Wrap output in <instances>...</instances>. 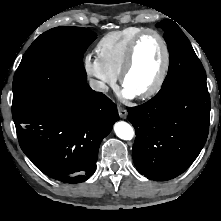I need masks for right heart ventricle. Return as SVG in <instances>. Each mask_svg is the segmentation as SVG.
Listing matches in <instances>:
<instances>
[{
    "mask_svg": "<svg viewBox=\"0 0 221 221\" xmlns=\"http://www.w3.org/2000/svg\"><path fill=\"white\" fill-rule=\"evenodd\" d=\"M144 28L129 26L106 33L97 43L95 51L104 66L115 76L120 74L126 51L132 39Z\"/></svg>",
    "mask_w": 221,
    "mask_h": 221,
    "instance_id": "e07e8e85",
    "label": "right heart ventricle"
}]
</instances>
